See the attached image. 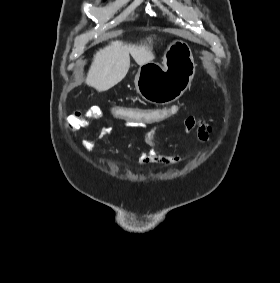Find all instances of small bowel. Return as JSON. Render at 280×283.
Segmentation results:
<instances>
[{"label": "small bowel", "mask_w": 280, "mask_h": 283, "mask_svg": "<svg viewBox=\"0 0 280 283\" xmlns=\"http://www.w3.org/2000/svg\"><path fill=\"white\" fill-rule=\"evenodd\" d=\"M103 116V111L100 108L92 107L86 111L74 113L69 116L67 125L69 130L74 134L76 130L87 127L96 121L100 120ZM168 120V119H166ZM159 123V122H156ZM128 128H143L147 125H142L139 122H124ZM198 126V138L201 143H206L211 134V127L203 120H195L194 117L188 116L182 121V127L185 132H190L195 126ZM113 130L112 125L107 124L103 126L96 135L87 139L84 143V150L87 153L92 152L94 143L101 138L111 135ZM146 141L150 145V149L140 154L139 165L146 167L149 165H161L165 167L174 166L182 162V159L167 149L159 148L155 145V131L151 129L146 134Z\"/></svg>", "instance_id": "small-bowel-1"}]
</instances>
